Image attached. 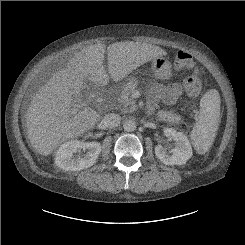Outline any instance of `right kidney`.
<instances>
[{
	"mask_svg": "<svg viewBox=\"0 0 245 245\" xmlns=\"http://www.w3.org/2000/svg\"><path fill=\"white\" fill-rule=\"evenodd\" d=\"M81 149L87 150L86 154H81ZM100 152L99 142L71 140L59 147L55 156V164L63 170L80 171L95 164Z\"/></svg>",
	"mask_w": 245,
	"mask_h": 245,
	"instance_id": "right-kidney-1",
	"label": "right kidney"
}]
</instances>
